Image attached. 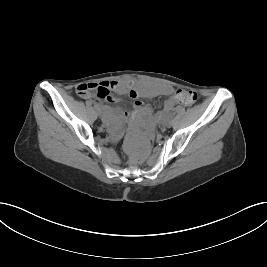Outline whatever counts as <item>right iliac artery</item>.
<instances>
[{
    "label": "right iliac artery",
    "instance_id": "right-iliac-artery-1",
    "mask_svg": "<svg viewBox=\"0 0 267 267\" xmlns=\"http://www.w3.org/2000/svg\"><path fill=\"white\" fill-rule=\"evenodd\" d=\"M94 109H95L96 111H98V110H99V107H98L97 105H94Z\"/></svg>",
    "mask_w": 267,
    "mask_h": 267
}]
</instances>
